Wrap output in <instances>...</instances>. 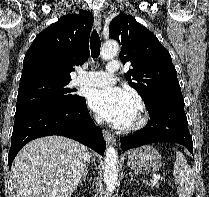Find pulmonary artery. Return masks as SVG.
<instances>
[{
	"label": "pulmonary artery",
	"mask_w": 209,
	"mask_h": 197,
	"mask_svg": "<svg viewBox=\"0 0 209 197\" xmlns=\"http://www.w3.org/2000/svg\"><path fill=\"white\" fill-rule=\"evenodd\" d=\"M119 70V62L113 60L108 63L106 71H92L87 72L83 76L78 77L76 80L77 85L91 86V87H103L114 83V75Z\"/></svg>",
	"instance_id": "1"
}]
</instances>
